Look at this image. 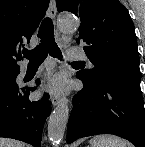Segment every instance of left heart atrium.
Listing matches in <instances>:
<instances>
[{
  "label": "left heart atrium",
  "mask_w": 145,
  "mask_h": 147,
  "mask_svg": "<svg viewBox=\"0 0 145 147\" xmlns=\"http://www.w3.org/2000/svg\"><path fill=\"white\" fill-rule=\"evenodd\" d=\"M64 90V83L63 80L60 78H55L49 86L46 88V91L52 95H59Z\"/></svg>",
  "instance_id": "1"
}]
</instances>
